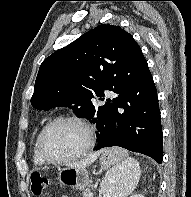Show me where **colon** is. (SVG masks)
<instances>
[{
  "instance_id": "obj_1",
  "label": "colon",
  "mask_w": 191,
  "mask_h": 197,
  "mask_svg": "<svg viewBox=\"0 0 191 197\" xmlns=\"http://www.w3.org/2000/svg\"><path fill=\"white\" fill-rule=\"evenodd\" d=\"M48 185V179L41 173L31 175V190L34 195H41Z\"/></svg>"
}]
</instances>
